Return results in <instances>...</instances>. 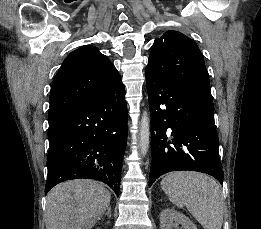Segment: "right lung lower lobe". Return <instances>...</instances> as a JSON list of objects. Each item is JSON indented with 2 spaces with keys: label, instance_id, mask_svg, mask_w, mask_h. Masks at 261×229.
I'll use <instances>...</instances> for the list:
<instances>
[{
  "label": "right lung lower lobe",
  "instance_id": "98d812e1",
  "mask_svg": "<svg viewBox=\"0 0 261 229\" xmlns=\"http://www.w3.org/2000/svg\"><path fill=\"white\" fill-rule=\"evenodd\" d=\"M45 193L60 182L93 179L119 196L127 142V105L122 80L49 126Z\"/></svg>",
  "mask_w": 261,
  "mask_h": 229
}]
</instances>
